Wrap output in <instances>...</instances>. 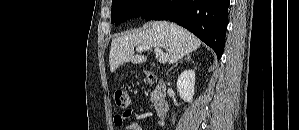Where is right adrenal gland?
Listing matches in <instances>:
<instances>
[{"label": "right adrenal gland", "instance_id": "1", "mask_svg": "<svg viewBox=\"0 0 299 130\" xmlns=\"http://www.w3.org/2000/svg\"><path fill=\"white\" fill-rule=\"evenodd\" d=\"M184 60L191 61V56L190 55H186V57L184 58ZM182 61L183 60H181L180 62H182ZM177 65H178V63L174 67H176ZM170 70H172V68Z\"/></svg>", "mask_w": 299, "mask_h": 130}]
</instances>
